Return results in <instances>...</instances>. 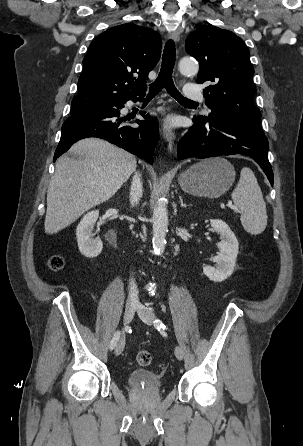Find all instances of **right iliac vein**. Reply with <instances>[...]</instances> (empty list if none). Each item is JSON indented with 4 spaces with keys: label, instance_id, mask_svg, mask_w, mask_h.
I'll return each mask as SVG.
<instances>
[{
    "label": "right iliac vein",
    "instance_id": "1",
    "mask_svg": "<svg viewBox=\"0 0 303 446\" xmlns=\"http://www.w3.org/2000/svg\"><path fill=\"white\" fill-rule=\"evenodd\" d=\"M136 309H137V305L136 304H134V303H127L126 304L125 311H124V324H125V326L128 325L132 321ZM124 347H125V338H124V336H122L121 339L118 341V344L116 346L115 355H120L123 352Z\"/></svg>",
    "mask_w": 303,
    "mask_h": 446
}]
</instances>
